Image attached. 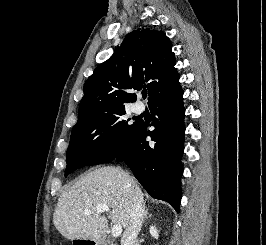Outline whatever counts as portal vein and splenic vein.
Returning <instances> with one entry per match:
<instances>
[{"label":"portal vein and splenic vein","mask_w":266,"mask_h":245,"mask_svg":"<svg viewBox=\"0 0 266 245\" xmlns=\"http://www.w3.org/2000/svg\"><path fill=\"white\" fill-rule=\"evenodd\" d=\"M97 213H110L111 209L110 207H107V205H97L96 207ZM84 213H90V209H85ZM122 233V227L121 225H115L112 229V237H119Z\"/></svg>","instance_id":"portal-vein-and-splenic-vein-1"}]
</instances>
